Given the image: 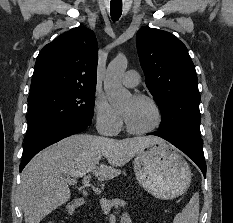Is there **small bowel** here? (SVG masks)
Wrapping results in <instances>:
<instances>
[{
    "instance_id": "small-bowel-1",
    "label": "small bowel",
    "mask_w": 233,
    "mask_h": 223,
    "mask_svg": "<svg viewBox=\"0 0 233 223\" xmlns=\"http://www.w3.org/2000/svg\"><path fill=\"white\" fill-rule=\"evenodd\" d=\"M132 218L129 213H124L121 217V223H132Z\"/></svg>"
}]
</instances>
